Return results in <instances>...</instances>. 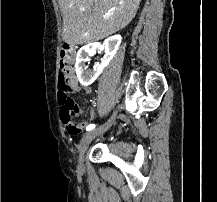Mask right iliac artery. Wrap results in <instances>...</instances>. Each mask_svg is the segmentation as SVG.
I'll list each match as a JSON object with an SVG mask.
<instances>
[{"label":"right iliac artery","mask_w":217,"mask_h":202,"mask_svg":"<svg viewBox=\"0 0 217 202\" xmlns=\"http://www.w3.org/2000/svg\"><path fill=\"white\" fill-rule=\"evenodd\" d=\"M94 128H95V124H90V125L87 126L86 130H87V131H91V130H93Z\"/></svg>","instance_id":"obj_1"}]
</instances>
